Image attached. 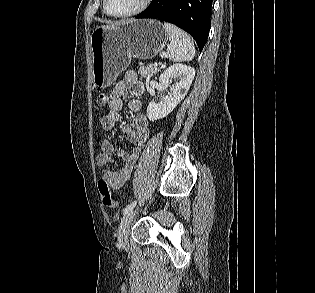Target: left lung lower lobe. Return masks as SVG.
Masks as SVG:
<instances>
[{"label":"left lung lower lobe","instance_id":"left-lung-lower-lobe-1","mask_svg":"<svg viewBox=\"0 0 315 293\" xmlns=\"http://www.w3.org/2000/svg\"><path fill=\"white\" fill-rule=\"evenodd\" d=\"M212 0H152L135 18H153L173 23L187 31L201 51L210 29Z\"/></svg>","mask_w":315,"mask_h":293}]
</instances>
